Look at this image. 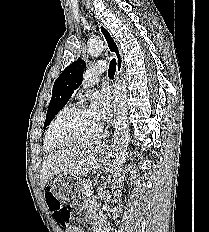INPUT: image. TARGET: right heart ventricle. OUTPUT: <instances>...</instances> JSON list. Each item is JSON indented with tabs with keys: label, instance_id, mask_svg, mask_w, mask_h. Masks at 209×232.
<instances>
[{
	"label": "right heart ventricle",
	"instance_id": "e07e8e85",
	"mask_svg": "<svg viewBox=\"0 0 209 232\" xmlns=\"http://www.w3.org/2000/svg\"><path fill=\"white\" fill-rule=\"evenodd\" d=\"M71 107V105H67L65 106L61 111H59V113L56 115V117L54 118V120L64 111L66 110L67 108ZM44 148L47 152H52V151H55L57 148L52 146L48 140H47V133H46V137H45V141H44Z\"/></svg>",
	"mask_w": 209,
	"mask_h": 232
}]
</instances>
